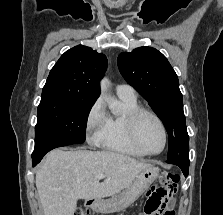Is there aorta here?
Returning <instances> with one entry per match:
<instances>
[{"instance_id": "762f6f07", "label": "aorta", "mask_w": 223, "mask_h": 215, "mask_svg": "<svg viewBox=\"0 0 223 215\" xmlns=\"http://www.w3.org/2000/svg\"><path fill=\"white\" fill-rule=\"evenodd\" d=\"M109 84L110 82L108 78H103V80H101L100 82L101 98H106ZM108 106L110 109H113L114 111V109L117 108V100H113V98H111V100H108Z\"/></svg>"}]
</instances>
